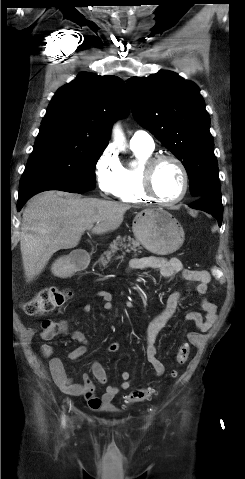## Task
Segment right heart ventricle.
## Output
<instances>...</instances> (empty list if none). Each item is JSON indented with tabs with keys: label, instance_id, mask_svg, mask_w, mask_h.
<instances>
[{
	"label": "right heart ventricle",
	"instance_id": "obj_1",
	"mask_svg": "<svg viewBox=\"0 0 245 479\" xmlns=\"http://www.w3.org/2000/svg\"><path fill=\"white\" fill-rule=\"evenodd\" d=\"M137 159L135 165L122 167L121 180L116 196L128 203H143L151 199L146 196L141 186V173L144 163L153 156V149L131 146Z\"/></svg>",
	"mask_w": 245,
	"mask_h": 479
}]
</instances>
